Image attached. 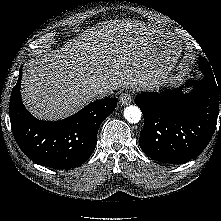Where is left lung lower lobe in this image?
I'll return each instance as SVG.
<instances>
[{
	"instance_id": "1",
	"label": "left lung lower lobe",
	"mask_w": 221,
	"mask_h": 221,
	"mask_svg": "<svg viewBox=\"0 0 221 221\" xmlns=\"http://www.w3.org/2000/svg\"><path fill=\"white\" fill-rule=\"evenodd\" d=\"M186 86H193L186 95L178 88L145 92L135 98L144 117L139 145L159 162L183 164L197 157L218 125L221 84L205 76L199 82L188 80Z\"/></svg>"
}]
</instances>
